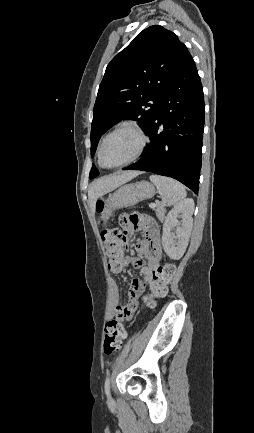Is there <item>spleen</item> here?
Here are the masks:
<instances>
[{
    "mask_svg": "<svg viewBox=\"0 0 254 433\" xmlns=\"http://www.w3.org/2000/svg\"><path fill=\"white\" fill-rule=\"evenodd\" d=\"M150 181L157 187L164 206L175 205L187 195L184 186L172 178L151 175Z\"/></svg>",
    "mask_w": 254,
    "mask_h": 433,
    "instance_id": "1",
    "label": "spleen"
}]
</instances>
